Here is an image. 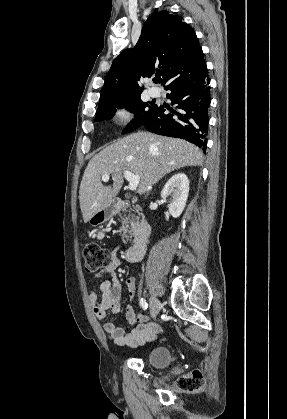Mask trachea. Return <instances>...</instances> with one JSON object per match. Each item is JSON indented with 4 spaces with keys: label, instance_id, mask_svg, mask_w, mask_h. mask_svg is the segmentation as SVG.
Segmentation results:
<instances>
[{
    "label": "trachea",
    "instance_id": "obj_1",
    "mask_svg": "<svg viewBox=\"0 0 287 419\" xmlns=\"http://www.w3.org/2000/svg\"><path fill=\"white\" fill-rule=\"evenodd\" d=\"M153 81H154L155 83H159V82H161V78H160V77L154 78V79H153Z\"/></svg>",
    "mask_w": 287,
    "mask_h": 419
}]
</instances>
